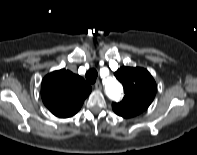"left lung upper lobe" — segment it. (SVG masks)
I'll return each instance as SVG.
<instances>
[{
    "mask_svg": "<svg viewBox=\"0 0 197 155\" xmlns=\"http://www.w3.org/2000/svg\"><path fill=\"white\" fill-rule=\"evenodd\" d=\"M115 77L123 84L125 96L119 103H112L113 111L124 118H131L145 111L156 94V83L143 68L121 67Z\"/></svg>",
    "mask_w": 197,
    "mask_h": 155,
    "instance_id": "obj_1",
    "label": "left lung upper lobe"
}]
</instances>
